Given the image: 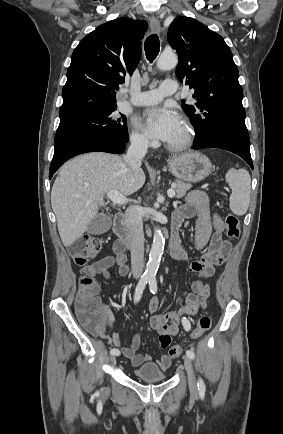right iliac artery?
I'll list each match as a JSON object with an SVG mask.
<instances>
[{"label":"right iliac artery","mask_w":283,"mask_h":434,"mask_svg":"<svg viewBox=\"0 0 283 434\" xmlns=\"http://www.w3.org/2000/svg\"><path fill=\"white\" fill-rule=\"evenodd\" d=\"M148 281H149L148 276H142L141 277V279H140V281L136 287V290H135V296H134L135 303H137L141 299L143 290H144ZM110 354L118 356V355H120V352L118 349L113 348L110 350Z\"/></svg>","instance_id":"obj_1"}]
</instances>
